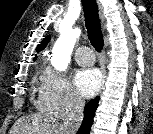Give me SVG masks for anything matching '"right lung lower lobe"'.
<instances>
[{
  "instance_id": "obj_1",
  "label": "right lung lower lobe",
  "mask_w": 153,
  "mask_h": 134,
  "mask_svg": "<svg viewBox=\"0 0 153 134\" xmlns=\"http://www.w3.org/2000/svg\"><path fill=\"white\" fill-rule=\"evenodd\" d=\"M99 96H97L94 100H91L86 106L84 110V119L78 130V134H89L91 129V125L93 123V118L98 107Z\"/></svg>"
}]
</instances>
